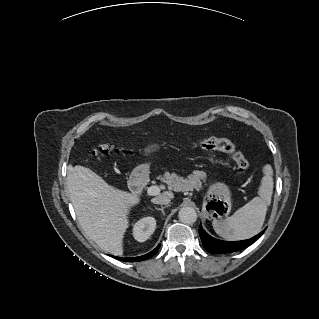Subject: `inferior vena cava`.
I'll return each instance as SVG.
<instances>
[{
    "label": "inferior vena cava",
    "instance_id": "1",
    "mask_svg": "<svg viewBox=\"0 0 319 319\" xmlns=\"http://www.w3.org/2000/svg\"><path fill=\"white\" fill-rule=\"evenodd\" d=\"M154 204L168 205L170 203V197L166 195H159L151 200Z\"/></svg>",
    "mask_w": 319,
    "mask_h": 319
}]
</instances>
